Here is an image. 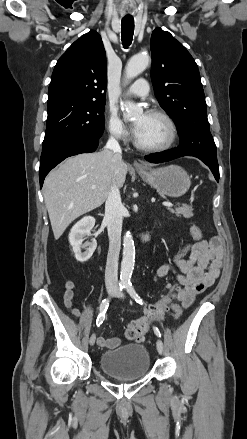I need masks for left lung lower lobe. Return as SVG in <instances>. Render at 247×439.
<instances>
[{
    "label": "left lung lower lobe",
    "instance_id": "obj_1",
    "mask_svg": "<svg viewBox=\"0 0 247 439\" xmlns=\"http://www.w3.org/2000/svg\"><path fill=\"white\" fill-rule=\"evenodd\" d=\"M183 156H188V155H186L182 150H180L179 147H177L175 149L147 155V156H145V159L151 163H162V162H168V161H171L173 159L183 157ZM211 171L214 174L215 179L217 181H219V170L213 169Z\"/></svg>",
    "mask_w": 247,
    "mask_h": 439
}]
</instances>
